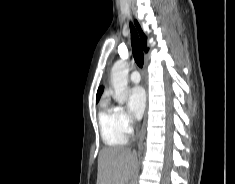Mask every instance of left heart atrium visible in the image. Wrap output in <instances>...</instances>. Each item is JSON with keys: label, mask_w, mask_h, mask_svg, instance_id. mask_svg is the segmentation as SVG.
I'll use <instances>...</instances> for the list:
<instances>
[{"label": "left heart atrium", "mask_w": 235, "mask_h": 184, "mask_svg": "<svg viewBox=\"0 0 235 184\" xmlns=\"http://www.w3.org/2000/svg\"><path fill=\"white\" fill-rule=\"evenodd\" d=\"M146 106V94L143 88L134 87L129 93V110L134 118H141Z\"/></svg>", "instance_id": "left-heart-atrium-1"}]
</instances>
